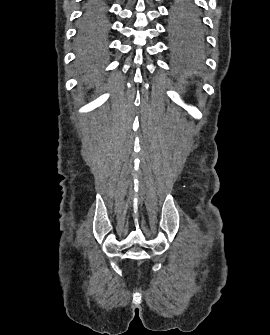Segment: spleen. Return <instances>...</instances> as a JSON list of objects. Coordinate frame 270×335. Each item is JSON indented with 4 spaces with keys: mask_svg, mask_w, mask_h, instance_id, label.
Wrapping results in <instances>:
<instances>
[{
    "mask_svg": "<svg viewBox=\"0 0 270 335\" xmlns=\"http://www.w3.org/2000/svg\"><path fill=\"white\" fill-rule=\"evenodd\" d=\"M195 56H192L191 60H194Z\"/></svg>",
    "mask_w": 270,
    "mask_h": 335,
    "instance_id": "spleen-1",
    "label": "spleen"
}]
</instances>
